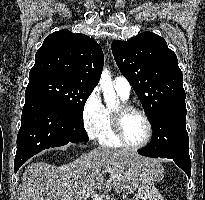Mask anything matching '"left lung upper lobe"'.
I'll use <instances>...</instances> for the list:
<instances>
[{"mask_svg": "<svg viewBox=\"0 0 205 200\" xmlns=\"http://www.w3.org/2000/svg\"><path fill=\"white\" fill-rule=\"evenodd\" d=\"M111 48L120 71L136 92L151 124L168 105L185 101L177 57L162 37L144 32L128 41L116 40Z\"/></svg>", "mask_w": 205, "mask_h": 200, "instance_id": "obj_1", "label": "left lung upper lobe"}]
</instances>
